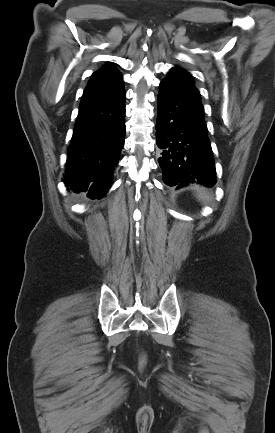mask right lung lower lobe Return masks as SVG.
I'll list each match as a JSON object with an SVG mask.
<instances>
[{
  "instance_id": "right-lung-lower-lobe-1",
  "label": "right lung lower lobe",
  "mask_w": 275,
  "mask_h": 433,
  "mask_svg": "<svg viewBox=\"0 0 275 433\" xmlns=\"http://www.w3.org/2000/svg\"><path fill=\"white\" fill-rule=\"evenodd\" d=\"M125 132L123 82L84 92L68 148L65 185L102 198L110 188Z\"/></svg>"
}]
</instances>
